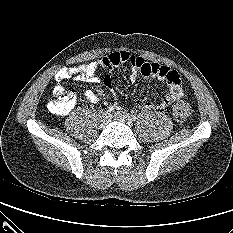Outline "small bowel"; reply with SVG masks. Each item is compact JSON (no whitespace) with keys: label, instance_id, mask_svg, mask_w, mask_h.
<instances>
[{"label":"small bowel","instance_id":"small-bowel-1","mask_svg":"<svg viewBox=\"0 0 233 233\" xmlns=\"http://www.w3.org/2000/svg\"><path fill=\"white\" fill-rule=\"evenodd\" d=\"M123 63H129L132 66V74L130 76L132 82H135L138 74H141L146 78L155 77L167 85L168 89L163 99L160 102L147 101L144 104L145 109H164L182 97L181 79L177 71L157 63H148L143 58L135 56L128 51L112 52L87 64L61 68L54 76L56 81L54 92L62 88L61 82L63 80L69 78H73L77 82L97 84L100 82V78L97 75L99 69H112ZM103 82L106 86H109L111 83L109 77H105ZM84 97L90 102L98 101V96L91 90L85 91Z\"/></svg>","mask_w":233,"mask_h":233}]
</instances>
